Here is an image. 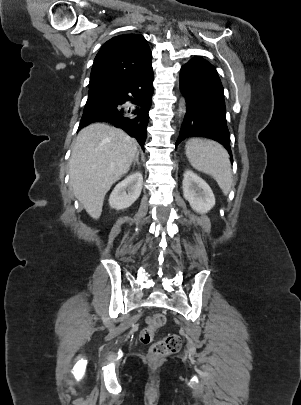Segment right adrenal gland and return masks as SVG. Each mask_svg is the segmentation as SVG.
Listing matches in <instances>:
<instances>
[{
    "label": "right adrenal gland",
    "mask_w": 301,
    "mask_h": 405,
    "mask_svg": "<svg viewBox=\"0 0 301 405\" xmlns=\"http://www.w3.org/2000/svg\"><path fill=\"white\" fill-rule=\"evenodd\" d=\"M138 157H139V152L137 151V152H136V155H135V158H134V161H133V166H134L135 164L140 165L139 160H138Z\"/></svg>",
    "instance_id": "1"
}]
</instances>
